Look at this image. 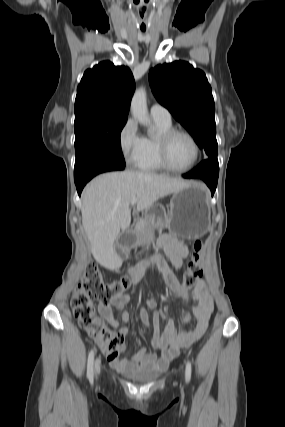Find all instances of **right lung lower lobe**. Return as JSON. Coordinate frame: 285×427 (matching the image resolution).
Listing matches in <instances>:
<instances>
[{"label": "right lung lower lobe", "instance_id": "1", "mask_svg": "<svg viewBox=\"0 0 285 427\" xmlns=\"http://www.w3.org/2000/svg\"><path fill=\"white\" fill-rule=\"evenodd\" d=\"M125 164L112 163L109 161H94L84 167L78 174L74 175V180L79 196L81 195L83 187L94 176L108 171L123 170Z\"/></svg>", "mask_w": 285, "mask_h": 427}]
</instances>
